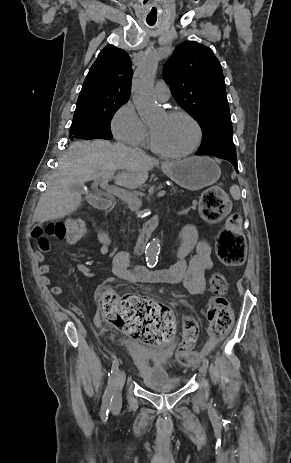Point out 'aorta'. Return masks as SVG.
I'll return each instance as SVG.
<instances>
[{
  "label": "aorta",
  "instance_id": "obj_1",
  "mask_svg": "<svg viewBox=\"0 0 291 463\" xmlns=\"http://www.w3.org/2000/svg\"><path fill=\"white\" fill-rule=\"evenodd\" d=\"M158 59L153 53L137 68L132 82V99L142 119L150 118L155 112L153 85L157 72ZM160 240L153 239L146 249V263L152 267L158 262Z\"/></svg>",
  "mask_w": 291,
  "mask_h": 463
}]
</instances>
